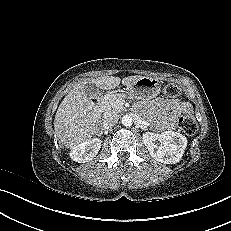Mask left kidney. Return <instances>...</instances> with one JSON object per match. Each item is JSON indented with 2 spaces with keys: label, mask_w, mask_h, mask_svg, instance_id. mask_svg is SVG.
Masks as SVG:
<instances>
[{
  "label": "left kidney",
  "mask_w": 231,
  "mask_h": 231,
  "mask_svg": "<svg viewBox=\"0 0 231 231\" xmlns=\"http://www.w3.org/2000/svg\"><path fill=\"white\" fill-rule=\"evenodd\" d=\"M158 139L160 145L155 141ZM144 144L150 155L158 162L175 164L182 158L187 147V138L178 132L165 131L157 138L154 133L143 135Z\"/></svg>",
  "instance_id": "left-kidney-1"
}]
</instances>
